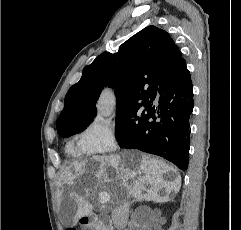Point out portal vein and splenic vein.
Returning a JSON list of instances; mask_svg holds the SVG:
<instances>
[{
    "label": "portal vein and splenic vein",
    "instance_id": "1",
    "mask_svg": "<svg viewBox=\"0 0 241 230\" xmlns=\"http://www.w3.org/2000/svg\"><path fill=\"white\" fill-rule=\"evenodd\" d=\"M99 199L102 204L107 203L110 200V196L108 193H100Z\"/></svg>",
    "mask_w": 241,
    "mask_h": 230
}]
</instances>
